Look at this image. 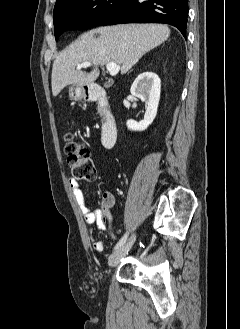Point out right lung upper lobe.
<instances>
[{
  "instance_id": "obj_1",
  "label": "right lung upper lobe",
  "mask_w": 240,
  "mask_h": 329,
  "mask_svg": "<svg viewBox=\"0 0 240 329\" xmlns=\"http://www.w3.org/2000/svg\"><path fill=\"white\" fill-rule=\"evenodd\" d=\"M67 1H69V0H57L54 9L59 8L60 6H62Z\"/></svg>"
}]
</instances>
